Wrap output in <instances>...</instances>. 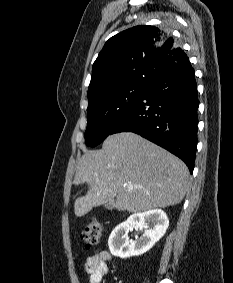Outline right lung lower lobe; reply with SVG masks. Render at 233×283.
<instances>
[{"instance_id": "98d812e1", "label": "right lung lower lobe", "mask_w": 233, "mask_h": 283, "mask_svg": "<svg viewBox=\"0 0 233 283\" xmlns=\"http://www.w3.org/2000/svg\"><path fill=\"white\" fill-rule=\"evenodd\" d=\"M197 84L188 57L158 75L111 134L134 132L182 159L193 172L197 144Z\"/></svg>"}]
</instances>
